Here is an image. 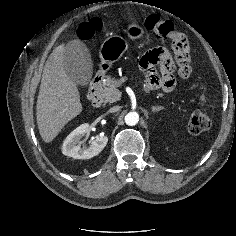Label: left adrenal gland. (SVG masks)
Here are the masks:
<instances>
[{
	"mask_svg": "<svg viewBox=\"0 0 236 236\" xmlns=\"http://www.w3.org/2000/svg\"><path fill=\"white\" fill-rule=\"evenodd\" d=\"M162 109H163V107H152V111L153 112H158V111H160Z\"/></svg>",
	"mask_w": 236,
	"mask_h": 236,
	"instance_id": "obj_1",
	"label": "left adrenal gland"
}]
</instances>
